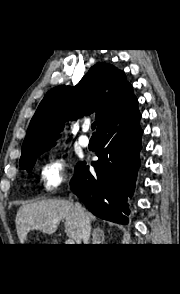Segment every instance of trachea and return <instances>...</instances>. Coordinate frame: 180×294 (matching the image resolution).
Segmentation results:
<instances>
[{"label":"trachea","instance_id":"trachea-1","mask_svg":"<svg viewBox=\"0 0 180 294\" xmlns=\"http://www.w3.org/2000/svg\"><path fill=\"white\" fill-rule=\"evenodd\" d=\"M92 130H94L96 128V122L92 123ZM93 136H95V134H93Z\"/></svg>","mask_w":180,"mask_h":294}]
</instances>
